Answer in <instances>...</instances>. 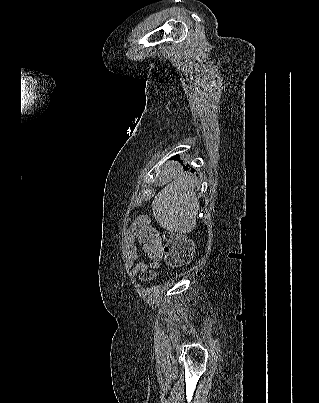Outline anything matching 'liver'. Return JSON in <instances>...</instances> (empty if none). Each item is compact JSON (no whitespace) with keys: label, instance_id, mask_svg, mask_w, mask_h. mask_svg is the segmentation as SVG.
Segmentation results:
<instances>
[{"label":"liver","instance_id":"1","mask_svg":"<svg viewBox=\"0 0 319 403\" xmlns=\"http://www.w3.org/2000/svg\"><path fill=\"white\" fill-rule=\"evenodd\" d=\"M161 178L170 183L158 192L152 202L156 221L170 232H191L196 227L200 207L194 192V177L190 173H177L169 164L162 171Z\"/></svg>","mask_w":319,"mask_h":403}]
</instances>
